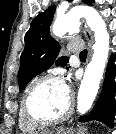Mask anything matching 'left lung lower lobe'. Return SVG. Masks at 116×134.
I'll return each instance as SVG.
<instances>
[{"mask_svg":"<svg viewBox=\"0 0 116 134\" xmlns=\"http://www.w3.org/2000/svg\"><path fill=\"white\" fill-rule=\"evenodd\" d=\"M115 55H111L106 76L104 79V84L102 88V92L99 96V99L94 107V109L88 114L83 115L79 118V121L85 122L88 120H100L106 125L112 127L113 119L116 110V103L114 101V93L116 90L115 84Z\"/></svg>","mask_w":116,"mask_h":134,"instance_id":"1","label":"left lung lower lobe"}]
</instances>
